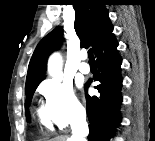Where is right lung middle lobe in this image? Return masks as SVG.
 <instances>
[{"label": "right lung middle lobe", "mask_w": 155, "mask_h": 141, "mask_svg": "<svg viewBox=\"0 0 155 141\" xmlns=\"http://www.w3.org/2000/svg\"><path fill=\"white\" fill-rule=\"evenodd\" d=\"M39 83H36V84H33L31 86H28L26 87V102H25V109H26V119L27 120H30V116H29V111L27 110L30 102H31V99H32V96H33V93L35 91V89L37 88Z\"/></svg>", "instance_id": "right-lung-middle-lobe-1"}]
</instances>
